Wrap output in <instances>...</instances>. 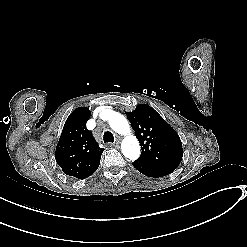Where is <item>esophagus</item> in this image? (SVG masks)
Segmentation results:
<instances>
[{
  "instance_id": "esophagus-1",
  "label": "esophagus",
  "mask_w": 247,
  "mask_h": 247,
  "mask_svg": "<svg viewBox=\"0 0 247 247\" xmlns=\"http://www.w3.org/2000/svg\"><path fill=\"white\" fill-rule=\"evenodd\" d=\"M118 145H119V143L117 142V143H115V144H112L111 146L117 147Z\"/></svg>"
}]
</instances>
